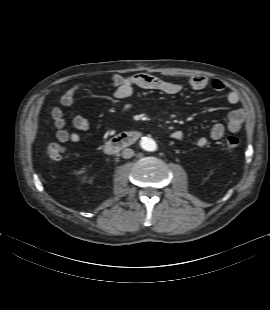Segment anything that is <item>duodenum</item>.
<instances>
[{"mask_svg":"<svg viewBox=\"0 0 270 310\" xmlns=\"http://www.w3.org/2000/svg\"><path fill=\"white\" fill-rule=\"evenodd\" d=\"M141 136L140 132L132 131L118 134L110 138L104 145V150L109 154H115L124 148L134 144Z\"/></svg>","mask_w":270,"mask_h":310,"instance_id":"1","label":"duodenum"}]
</instances>
